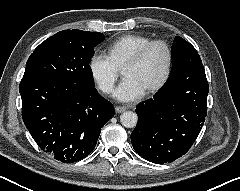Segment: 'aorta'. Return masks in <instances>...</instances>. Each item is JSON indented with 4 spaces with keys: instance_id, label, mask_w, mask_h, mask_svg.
I'll use <instances>...</instances> for the list:
<instances>
[{
    "instance_id": "aorta-1",
    "label": "aorta",
    "mask_w": 240,
    "mask_h": 191,
    "mask_svg": "<svg viewBox=\"0 0 240 191\" xmlns=\"http://www.w3.org/2000/svg\"><path fill=\"white\" fill-rule=\"evenodd\" d=\"M121 124L126 128H133L137 125L138 116L132 111H126L120 116Z\"/></svg>"
}]
</instances>
